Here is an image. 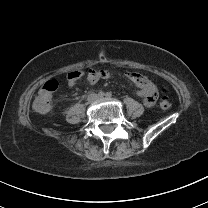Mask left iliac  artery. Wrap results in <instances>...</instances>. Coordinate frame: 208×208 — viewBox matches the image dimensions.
Returning a JSON list of instances; mask_svg holds the SVG:
<instances>
[{"instance_id": "44dca946", "label": "left iliac artery", "mask_w": 208, "mask_h": 208, "mask_svg": "<svg viewBox=\"0 0 208 208\" xmlns=\"http://www.w3.org/2000/svg\"><path fill=\"white\" fill-rule=\"evenodd\" d=\"M106 96H107L108 98H110V97L112 96L111 92H107V93H106Z\"/></svg>"}]
</instances>
